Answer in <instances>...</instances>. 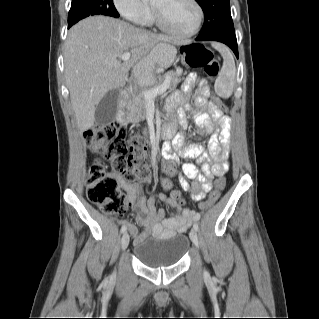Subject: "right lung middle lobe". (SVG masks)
<instances>
[{"instance_id":"obj_1","label":"right lung middle lobe","mask_w":319,"mask_h":319,"mask_svg":"<svg viewBox=\"0 0 319 319\" xmlns=\"http://www.w3.org/2000/svg\"><path fill=\"white\" fill-rule=\"evenodd\" d=\"M93 15L118 17L113 0H72L68 14V27L79 20Z\"/></svg>"}]
</instances>
